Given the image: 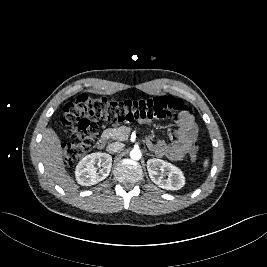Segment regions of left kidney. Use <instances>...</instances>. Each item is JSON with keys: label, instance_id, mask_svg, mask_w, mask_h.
<instances>
[{"label": "left kidney", "instance_id": "5707ae66", "mask_svg": "<svg viewBox=\"0 0 267 267\" xmlns=\"http://www.w3.org/2000/svg\"><path fill=\"white\" fill-rule=\"evenodd\" d=\"M147 170L150 179L162 189L178 190L185 185L183 172L175 165L161 159H149Z\"/></svg>", "mask_w": 267, "mask_h": 267}]
</instances>
